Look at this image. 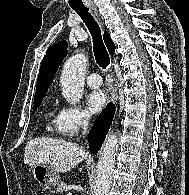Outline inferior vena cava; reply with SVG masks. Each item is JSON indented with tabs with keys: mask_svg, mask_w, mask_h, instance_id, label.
<instances>
[{
	"mask_svg": "<svg viewBox=\"0 0 189 195\" xmlns=\"http://www.w3.org/2000/svg\"><path fill=\"white\" fill-rule=\"evenodd\" d=\"M88 123H89L88 118L83 119V121H82V126H83V130H84L83 134L86 133Z\"/></svg>",
	"mask_w": 189,
	"mask_h": 195,
	"instance_id": "inferior-vena-cava-1",
	"label": "inferior vena cava"
}]
</instances>
